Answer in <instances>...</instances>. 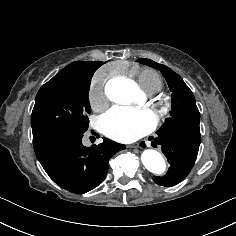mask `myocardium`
<instances>
[{
    "mask_svg": "<svg viewBox=\"0 0 236 236\" xmlns=\"http://www.w3.org/2000/svg\"><path fill=\"white\" fill-rule=\"evenodd\" d=\"M158 115H159V123H163L165 122V120L168 118L169 116V112H170V105L169 104H162L159 108H158Z\"/></svg>",
    "mask_w": 236,
    "mask_h": 236,
    "instance_id": "obj_1",
    "label": "myocardium"
}]
</instances>
